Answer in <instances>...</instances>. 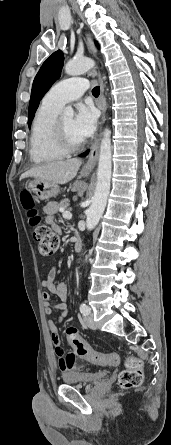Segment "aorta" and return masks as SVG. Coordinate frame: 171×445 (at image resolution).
I'll return each mask as SVG.
<instances>
[{
  "mask_svg": "<svg viewBox=\"0 0 171 445\" xmlns=\"http://www.w3.org/2000/svg\"><path fill=\"white\" fill-rule=\"evenodd\" d=\"M95 66V62L87 57L73 59L65 66V72L70 76H76L89 71ZM74 111L71 108L64 110V117H73ZM112 174V148L111 131L106 128L100 144V153L97 170V184L92 203L86 213V226L88 230L93 229L99 222L110 192Z\"/></svg>",
  "mask_w": 171,
  "mask_h": 445,
  "instance_id": "aorta-1",
  "label": "aorta"
}]
</instances>
